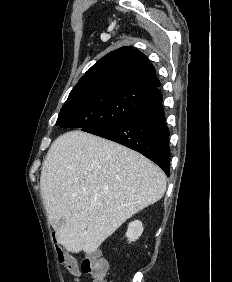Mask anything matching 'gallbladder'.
<instances>
[{
	"instance_id": "gallbladder-1",
	"label": "gallbladder",
	"mask_w": 232,
	"mask_h": 282,
	"mask_svg": "<svg viewBox=\"0 0 232 282\" xmlns=\"http://www.w3.org/2000/svg\"><path fill=\"white\" fill-rule=\"evenodd\" d=\"M62 223H63V220H59V221L57 222V225L60 226Z\"/></svg>"
}]
</instances>
